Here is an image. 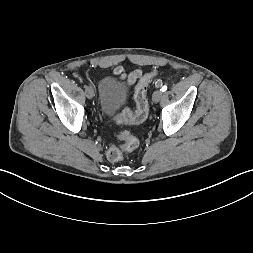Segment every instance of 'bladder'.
Here are the masks:
<instances>
[{"mask_svg":"<svg viewBox=\"0 0 253 253\" xmlns=\"http://www.w3.org/2000/svg\"><path fill=\"white\" fill-rule=\"evenodd\" d=\"M129 90L112 79H104L99 84V101L105 115L113 114L128 99Z\"/></svg>","mask_w":253,"mask_h":253,"instance_id":"31cf9c89","label":"bladder"}]
</instances>
